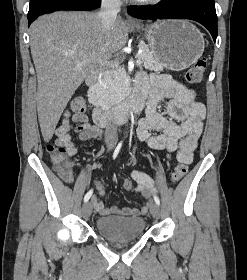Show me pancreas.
I'll return each instance as SVG.
<instances>
[{"label":"pancreas","mask_w":247,"mask_h":280,"mask_svg":"<svg viewBox=\"0 0 247 280\" xmlns=\"http://www.w3.org/2000/svg\"><path fill=\"white\" fill-rule=\"evenodd\" d=\"M138 47L142 50V53L137 58L141 60L146 69L151 71L163 70L162 65L156 60L145 43H140ZM126 79L123 69L119 66L105 71L95 86V98L99 105H112L118 102L123 97V86Z\"/></svg>","instance_id":"1"}]
</instances>
